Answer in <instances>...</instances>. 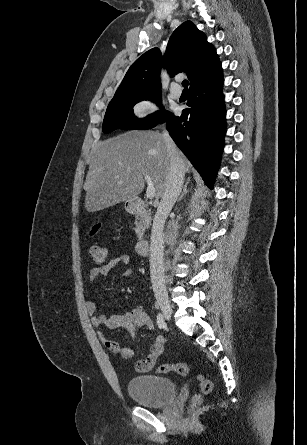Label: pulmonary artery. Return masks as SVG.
I'll return each instance as SVG.
<instances>
[{"label": "pulmonary artery", "mask_w": 307, "mask_h": 445, "mask_svg": "<svg viewBox=\"0 0 307 445\" xmlns=\"http://www.w3.org/2000/svg\"><path fill=\"white\" fill-rule=\"evenodd\" d=\"M176 81H180V77H176ZM174 87H175V88H178V87H179V84H178V83H175V84H174ZM175 88H171L170 92H171V94H172L174 97H179L180 94H181V92H180L179 90L175 89Z\"/></svg>", "instance_id": "obj_1"}]
</instances>
